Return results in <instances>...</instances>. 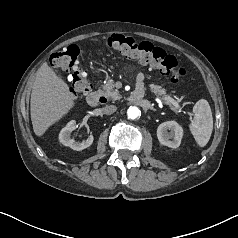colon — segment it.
Wrapping results in <instances>:
<instances>
[{"mask_svg":"<svg viewBox=\"0 0 238 238\" xmlns=\"http://www.w3.org/2000/svg\"><path fill=\"white\" fill-rule=\"evenodd\" d=\"M102 46L148 65L162 75L169 76L173 82H178L186 75V70L178 65L174 56L150 42H138L130 36L113 34L102 40ZM50 63L55 69L69 73L70 92L74 97L84 96L90 91L91 86L81 67L77 46L70 45L55 52Z\"/></svg>","mask_w":238,"mask_h":238,"instance_id":"colon-1","label":"colon"}]
</instances>
